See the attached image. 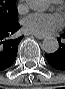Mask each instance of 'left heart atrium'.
I'll use <instances>...</instances> for the list:
<instances>
[{
	"mask_svg": "<svg viewBox=\"0 0 65 89\" xmlns=\"http://www.w3.org/2000/svg\"><path fill=\"white\" fill-rule=\"evenodd\" d=\"M61 19L54 15L35 13L23 21L27 32L37 35H48L61 26Z\"/></svg>",
	"mask_w": 65,
	"mask_h": 89,
	"instance_id": "1",
	"label": "left heart atrium"
}]
</instances>
